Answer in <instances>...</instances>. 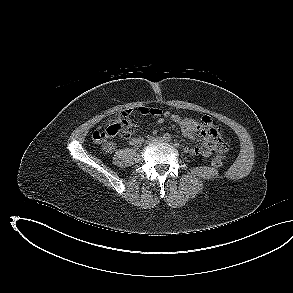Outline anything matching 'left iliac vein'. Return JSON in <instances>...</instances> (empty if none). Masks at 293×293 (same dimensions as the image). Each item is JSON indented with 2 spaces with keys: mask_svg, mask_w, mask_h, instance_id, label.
<instances>
[{
  "mask_svg": "<svg viewBox=\"0 0 293 293\" xmlns=\"http://www.w3.org/2000/svg\"><path fill=\"white\" fill-rule=\"evenodd\" d=\"M160 142H165L167 143L168 141L164 140V139H159Z\"/></svg>",
  "mask_w": 293,
  "mask_h": 293,
  "instance_id": "obj_1",
  "label": "left iliac vein"
}]
</instances>
